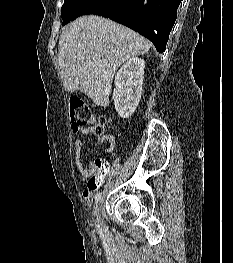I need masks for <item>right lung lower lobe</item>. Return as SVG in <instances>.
Returning <instances> with one entry per match:
<instances>
[{"mask_svg":"<svg viewBox=\"0 0 233 263\" xmlns=\"http://www.w3.org/2000/svg\"><path fill=\"white\" fill-rule=\"evenodd\" d=\"M181 0H122L112 12L101 15L148 38L159 53L166 49Z\"/></svg>","mask_w":233,"mask_h":263,"instance_id":"right-lung-lower-lobe-1","label":"right lung lower lobe"}]
</instances>
